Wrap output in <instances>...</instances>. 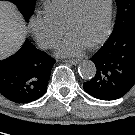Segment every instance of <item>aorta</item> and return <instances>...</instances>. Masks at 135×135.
Returning <instances> with one entry per match:
<instances>
[{
	"label": "aorta",
	"mask_w": 135,
	"mask_h": 135,
	"mask_svg": "<svg viewBox=\"0 0 135 135\" xmlns=\"http://www.w3.org/2000/svg\"><path fill=\"white\" fill-rule=\"evenodd\" d=\"M78 71L83 79H92L96 74V66L92 61L84 60L79 64Z\"/></svg>",
	"instance_id": "obj_1"
}]
</instances>
